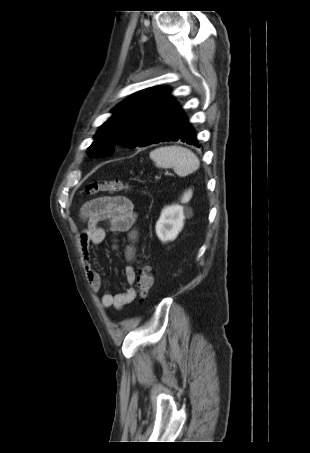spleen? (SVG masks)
<instances>
[{
  "instance_id": "3e777b00",
  "label": "spleen",
  "mask_w": 310,
  "mask_h": 453,
  "mask_svg": "<svg viewBox=\"0 0 310 453\" xmlns=\"http://www.w3.org/2000/svg\"><path fill=\"white\" fill-rule=\"evenodd\" d=\"M150 158L158 168H173L179 176L195 172L200 165L196 154L182 146H164L150 152Z\"/></svg>"
}]
</instances>
